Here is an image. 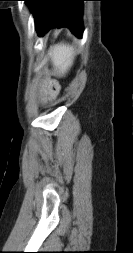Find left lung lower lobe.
Returning a JSON list of instances; mask_svg holds the SVG:
<instances>
[{
    "label": "left lung lower lobe",
    "mask_w": 133,
    "mask_h": 253,
    "mask_svg": "<svg viewBox=\"0 0 133 253\" xmlns=\"http://www.w3.org/2000/svg\"><path fill=\"white\" fill-rule=\"evenodd\" d=\"M34 14L39 35L53 27H68L82 37L83 1L87 0H24Z\"/></svg>",
    "instance_id": "obj_1"
}]
</instances>
